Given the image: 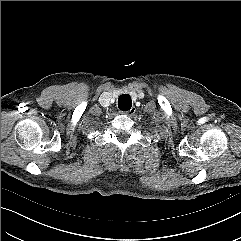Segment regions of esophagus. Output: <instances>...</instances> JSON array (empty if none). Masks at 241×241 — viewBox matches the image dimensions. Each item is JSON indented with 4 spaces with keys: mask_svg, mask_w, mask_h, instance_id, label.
<instances>
[{
    "mask_svg": "<svg viewBox=\"0 0 241 241\" xmlns=\"http://www.w3.org/2000/svg\"><path fill=\"white\" fill-rule=\"evenodd\" d=\"M135 112H136V108H135V107H133V108H131V109H130V110H128V111L121 112V114H125V115H128V116H132V115H134V114H135Z\"/></svg>",
    "mask_w": 241,
    "mask_h": 241,
    "instance_id": "1",
    "label": "esophagus"
}]
</instances>
